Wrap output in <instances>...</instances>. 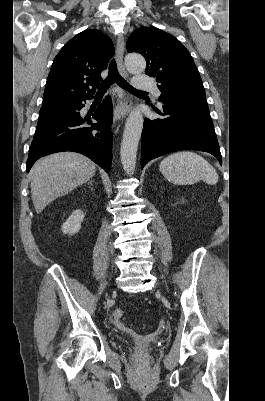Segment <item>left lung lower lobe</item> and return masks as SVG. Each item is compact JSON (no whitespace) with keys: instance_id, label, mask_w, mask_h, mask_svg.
<instances>
[{"instance_id":"left-lung-lower-lobe-1","label":"left lung lower lobe","mask_w":265,"mask_h":401,"mask_svg":"<svg viewBox=\"0 0 265 401\" xmlns=\"http://www.w3.org/2000/svg\"><path fill=\"white\" fill-rule=\"evenodd\" d=\"M163 119L144 120L141 137V168L150 160L179 150H199L222 157L206 99L161 101Z\"/></svg>"}]
</instances>
